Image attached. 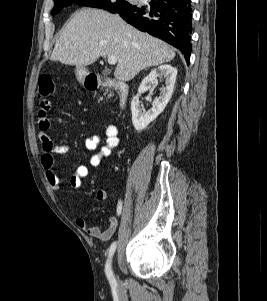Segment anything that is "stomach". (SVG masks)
Segmentation results:
<instances>
[{"label": "stomach", "mask_w": 267, "mask_h": 301, "mask_svg": "<svg viewBox=\"0 0 267 301\" xmlns=\"http://www.w3.org/2000/svg\"><path fill=\"white\" fill-rule=\"evenodd\" d=\"M82 71H83L82 69H77V75L80 80H82V75H81Z\"/></svg>", "instance_id": "obj_1"}]
</instances>
